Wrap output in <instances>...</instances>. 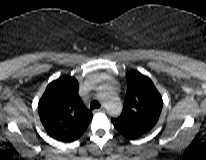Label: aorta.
Returning a JSON list of instances; mask_svg holds the SVG:
<instances>
[{
	"instance_id": "aorta-1",
	"label": "aorta",
	"mask_w": 206,
	"mask_h": 160,
	"mask_svg": "<svg viewBox=\"0 0 206 160\" xmlns=\"http://www.w3.org/2000/svg\"><path fill=\"white\" fill-rule=\"evenodd\" d=\"M104 102L108 108V111L111 115L113 116H117L121 113L122 111V104L121 102L118 100L117 97H113V98H105Z\"/></svg>"
}]
</instances>
